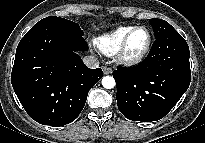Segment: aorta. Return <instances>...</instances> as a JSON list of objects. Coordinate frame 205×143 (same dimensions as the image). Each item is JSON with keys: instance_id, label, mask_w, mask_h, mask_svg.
Returning a JSON list of instances; mask_svg holds the SVG:
<instances>
[{"instance_id": "762f6f07", "label": "aorta", "mask_w": 205, "mask_h": 143, "mask_svg": "<svg viewBox=\"0 0 205 143\" xmlns=\"http://www.w3.org/2000/svg\"><path fill=\"white\" fill-rule=\"evenodd\" d=\"M102 86L106 89H112L115 86V80L111 76H105L102 78Z\"/></svg>"}]
</instances>
